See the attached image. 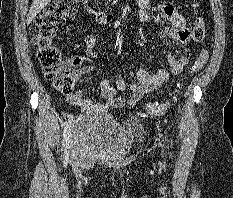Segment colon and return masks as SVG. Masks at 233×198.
<instances>
[{
    "instance_id": "obj_1",
    "label": "colon",
    "mask_w": 233,
    "mask_h": 198,
    "mask_svg": "<svg viewBox=\"0 0 233 198\" xmlns=\"http://www.w3.org/2000/svg\"><path fill=\"white\" fill-rule=\"evenodd\" d=\"M78 2L79 0H54L34 20L30 28L37 59L46 79L57 91L65 95L72 94L79 80V72L63 64L62 56L54 44V36L65 21L76 12ZM204 34V20L198 17L191 30V37L194 41H200ZM207 60L208 52L202 50L192 64L190 74L197 73ZM169 106V101L155 100L148 103L146 109L153 115H162Z\"/></svg>"
}]
</instances>
